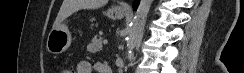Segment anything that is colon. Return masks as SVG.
<instances>
[{
	"label": "colon",
	"mask_w": 244,
	"mask_h": 73,
	"mask_svg": "<svg viewBox=\"0 0 244 73\" xmlns=\"http://www.w3.org/2000/svg\"><path fill=\"white\" fill-rule=\"evenodd\" d=\"M60 73H73L70 65H65L61 68Z\"/></svg>",
	"instance_id": "colon-1"
}]
</instances>
